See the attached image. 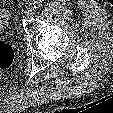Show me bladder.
<instances>
[{"instance_id":"1","label":"bladder","mask_w":113,"mask_h":113,"mask_svg":"<svg viewBox=\"0 0 113 113\" xmlns=\"http://www.w3.org/2000/svg\"><path fill=\"white\" fill-rule=\"evenodd\" d=\"M6 25V18L3 13H0V31L5 28Z\"/></svg>"}]
</instances>
